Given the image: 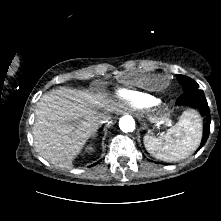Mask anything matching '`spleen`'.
<instances>
[{"label":"spleen","instance_id":"1","mask_svg":"<svg viewBox=\"0 0 221 221\" xmlns=\"http://www.w3.org/2000/svg\"><path fill=\"white\" fill-rule=\"evenodd\" d=\"M202 122L194 110H186L179 121L161 137L144 136L146 150L155 158L178 161L187 158L199 145Z\"/></svg>","mask_w":221,"mask_h":221}]
</instances>
